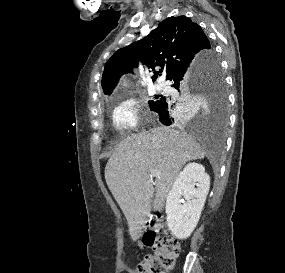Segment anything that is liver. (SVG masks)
<instances>
[{"instance_id": "6515ba94", "label": "liver", "mask_w": 285, "mask_h": 273, "mask_svg": "<svg viewBox=\"0 0 285 273\" xmlns=\"http://www.w3.org/2000/svg\"><path fill=\"white\" fill-rule=\"evenodd\" d=\"M204 156L192 137L166 126L132 134L118 144L106 164L105 180L127 219L133 241L139 238L151 211L154 187L150 171L161 173L154 183L152 204L161 211L183 165Z\"/></svg>"}]
</instances>
